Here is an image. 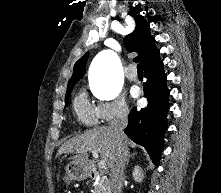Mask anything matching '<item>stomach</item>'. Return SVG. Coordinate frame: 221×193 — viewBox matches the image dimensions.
<instances>
[{
    "label": "stomach",
    "instance_id": "stomach-1",
    "mask_svg": "<svg viewBox=\"0 0 221 193\" xmlns=\"http://www.w3.org/2000/svg\"><path fill=\"white\" fill-rule=\"evenodd\" d=\"M66 173L63 177L64 182L69 183L72 180H83L87 177L88 170L84 164L71 162L65 168Z\"/></svg>",
    "mask_w": 221,
    "mask_h": 193
}]
</instances>
